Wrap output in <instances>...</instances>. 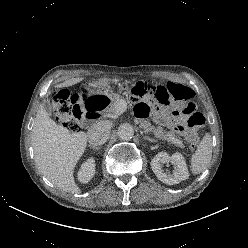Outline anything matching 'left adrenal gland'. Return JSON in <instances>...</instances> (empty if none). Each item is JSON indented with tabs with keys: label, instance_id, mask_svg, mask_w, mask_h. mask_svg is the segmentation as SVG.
<instances>
[{
	"label": "left adrenal gland",
	"instance_id": "1",
	"mask_svg": "<svg viewBox=\"0 0 248 248\" xmlns=\"http://www.w3.org/2000/svg\"><path fill=\"white\" fill-rule=\"evenodd\" d=\"M141 134L143 135V132H142V131H141ZM143 138H144L145 140H149V141H151V142H156V140L151 139V138H149V137H147V136H143Z\"/></svg>",
	"mask_w": 248,
	"mask_h": 248
}]
</instances>
